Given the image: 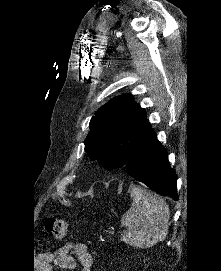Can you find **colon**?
Wrapping results in <instances>:
<instances>
[{
	"instance_id": "5ec220e1",
	"label": "colon",
	"mask_w": 221,
	"mask_h": 271,
	"mask_svg": "<svg viewBox=\"0 0 221 271\" xmlns=\"http://www.w3.org/2000/svg\"><path fill=\"white\" fill-rule=\"evenodd\" d=\"M46 230L56 241H61L65 238L66 223L63 219L48 217L46 220Z\"/></svg>"
}]
</instances>
